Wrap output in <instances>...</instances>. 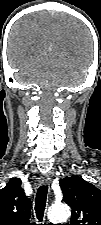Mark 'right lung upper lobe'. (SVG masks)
<instances>
[{
  "instance_id": "obj_1",
  "label": "right lung upper lobe",
  "mask_w": 101,
  "mask_h": 225,
  "mask_svg": "<svg viewBox=\"0 0 101 225\" xmlns=\"http://www.w3.org/2000/svg\"><path fill=\"white\" fill-rule=\"evenodd\" d=\"M31 200L25 196L21 181L11 180L0 191V225H30Z\"/></svg>"
}]
</instances>
